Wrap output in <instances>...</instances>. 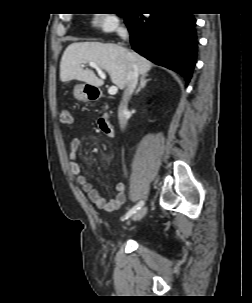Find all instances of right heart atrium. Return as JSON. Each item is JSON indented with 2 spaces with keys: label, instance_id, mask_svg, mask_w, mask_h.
Masks as SVG:
<instances>
[{
  "label": "right heart atrium",
  "instance_id": "obj_1",
  "mask_svg": "<svg viewBox=\"0 0 252 303\" xmlns=\"http://www.w3.org/2000/svg\"><path fill=\"white\" fill-rule=\"evenodd\" d=\"M94 25L104 32H119L123 29V25L117 16L111 14H103L94 19Z\"/></svg>",
  "mask_w": 252,
  "mask_h": 303
}]
</instances>
